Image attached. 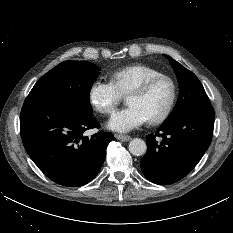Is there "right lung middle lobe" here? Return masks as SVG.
I'll return each instance as SVG.
<instances>
[{"label": "right lung middle lobe", "mask_w": 233, "mask_h": 233, "mask_svg": "<svg viewBox=\"0 0 233 233\" xmlns=\"http://www.w3.org/2000/svg\"><path fill=\"white\" fill-rule=\"evenodd\" d=\"M99 71L91 62H62L38 80L27 99L66 102L93 117L89 95Z\"/></svg>", "instance_id": "right-lung-middle-lobe-1"}]
</instances>
